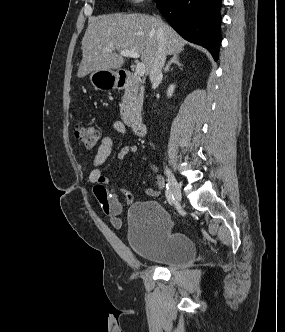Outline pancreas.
<instances>
[{
  "mask_svg": "<svg viewBox=\"0 0 285 332\" xmlns=\"http://www.w3.org/2000/svg\"><path fill=\"white\" fill-rule=\"evenodd\" d=\"M144 98V87L138 79H134L132 91H128L122 98L120 112L124 119L130 120L134 116H140Z\"/></svg>",
  "mask_w": 285,
  "mask_h": 332,
  "instance_id": "1",
  "label": "pancreas"
}]
</instances>
